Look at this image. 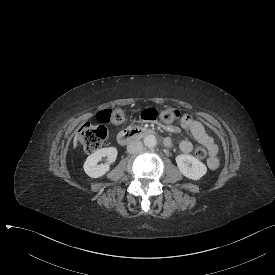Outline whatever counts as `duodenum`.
Wrapping results in <instances>:
<instances>
[{
	"mask_svg": "<svg viewBox=\"0 0 275 275\" xmlns=\"http://www.w3.org/2000/svg\"><path fill=\"white\" fill-rule=\"evenodd\" d=\"M155 131L145 127L129 128L121 131L117 136V141L121 145H127L145 136L153 135Z\"/></svg>",
	"mask_w": 275,
	"mask_h": 275,
	"instance_id": "410a0bca",
	"label": "duodenum"
}]
</instances>
